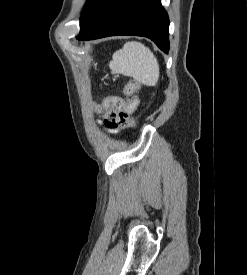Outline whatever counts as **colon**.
<instances>
[{
	"label": "colon",
	"mask_w": 247,
	"mask_h": 275,
	"mask_svg": "<svg viewBox=\"0 0 247 275\" xmlns=\"http://www.w3.org/2000/svg\"><path fill=\"white\" fill-rule=\"evenodd\" d=\"M139 90L140 82L132 78L124 87V98L109 95L104 99L105 125L108 128L118 129L136 127V121L132 114L139 104Z\"/></svg>",
	"instance_id": "obj_1"
}]
</instances>
